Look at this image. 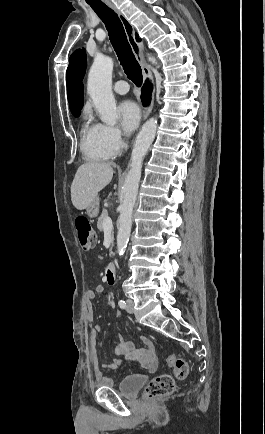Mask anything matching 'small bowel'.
I'll return each mask as SVG.
<instances>
[{
	"mask_svg": "<svg viewBox=\"0 0 265 434\" xmlns=\"http://www.w3.org/2000/svg\"><path fill=\"white\" fill-rule=\"evenodd\" d=\"M103 291L104 287L101 284L96 285L94 289L86 291V300L89 306V319L91 321H93L95 318L92 308L93 301L95 300L96 295L102 293ZM115 315L118 318L122 317L120 310H115ZM100 330L101 327L99 325H96L92 329L91 335L93 339L97 338ZM141 341L143 343V347L136 348L135 344L132 341L121 337L117 349L122 355H124L125 358H129L130 355L133 354L138 360L141 361L142 364L146 366L149 372H155L158 366L155 343L150 337L146 335L141 336ZM118 364H120V360H115L114 366ZM93 366L95 375L97 377L98 385L100 387H111L113 381L111 380V378H108L107 374L102 373V369L105 367V365L100 362L97 355H95L93 358Z\"/></svg>",
	"mask_w": 265,
	"mask_h": 434,
	"instance_id": "small-bowel-1",
	"label": "small bowel"
}]
</instances>
